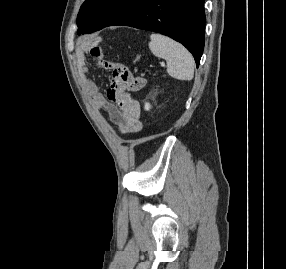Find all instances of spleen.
Returning a JSON list of instances; mask_svg holds the SVG:
<instances>
[{"mask_svg": "<svg viewBox=\"0 0 286 269\" xmlns=\"http://www.w3.org/2000/svg\"><path fill=\"white\" fill-rule=\"evenodd\" d=\"M151 52L167 61L168 74L178 80L190 81L194 77V59L180 43L160 34L150 36Z\"/></svg>", "mask_w": 286, "mask_h": 269, "instance_id": "1", "label": "spleen"}]
</instances>
